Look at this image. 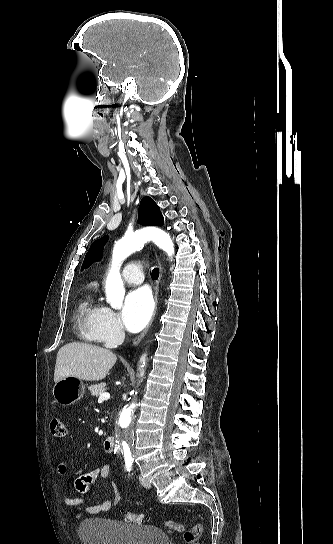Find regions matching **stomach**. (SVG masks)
I'll use <instances>...</instances> for the list:
<instances>
[{
	"mask_svg": "<svg viewBox=\"0 0 333 544\" xmlns=\"http://www.w3.org/2000/svg\"><path fill=\"white\" fill-rule=\"evenodd\" d=\"M52 392L57 403L70 406L83 397L85 385L81 379L68 376L56 382Z\"/></svg>",
	"mask_w": 333,
	"mask_h": 544,
	"instance_id": "stomach-1",
	"label": "stomach"
}]
</instances>
